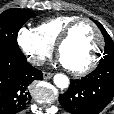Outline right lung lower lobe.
Wrapping results in <instances>:
<instances>
[{"label": "right lung lower lobe", "instance_id": "obj_1", "mask_svg": "<svg viewBox=\"0 0 114 114\" xmlns=\"http://www.w3.org/2000/svg\"><path fill=\"white\" fill-rule=\"evenodd\" d=\"M43 79L42 72L26 57L0 55V114H16L31 100L29 84Z\"/></svg>", "mask_w": 114, "mask_h": 114}]
</instances>
